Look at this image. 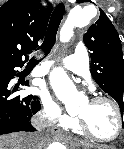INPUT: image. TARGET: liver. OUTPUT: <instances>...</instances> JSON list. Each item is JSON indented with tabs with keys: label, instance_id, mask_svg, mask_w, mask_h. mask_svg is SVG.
<instances>
[{
	"label": "liver",
	"instance_id": "liver-1",
	"mask_svg": "<svg viewBox=\"0 0 124 149\" xmlns=\"http://www.w3.org/2000/svg\"><path fill=\"white\" fill-rule=\"evenodd\" d=\"M31 134L26 133H12L9 135L0 136V149H28L29 142H31ZM45 138L40 136L38 139L37 149H41L45 145Z\"/></svg>",
	"mask_w": 124,
	"mask_h": 149
}]
</instances>
